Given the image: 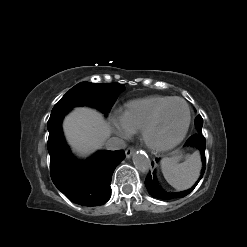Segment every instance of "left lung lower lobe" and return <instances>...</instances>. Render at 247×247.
<instances>
[{
    "label": "left lung lower lobe",
    "instance_id": "obj_1",
    "mask_svg": "<svg viewBox=\"0 0 247 247\" xmlns=\"http://www.w3.org/2000/svg\"><path fill=\"white\" fill-rule=\"evenodd\" d=\"M185 145L187 146H191L196 148L201 157H202V162H203V169H202V175L200 177V179L203 176V173L205 171V164H206V160H205V148H206V141L205 138L202 134H194L191 137L188 138V140L186 141ZM200 179L196 182V184L189 190L186 191H182V192H177V193H169L164 191L162 188H160L158 186L156 177H155V173L153 172V174L149 173L145 179V185L148 189V192L157 199H164V200H169V199H176V198H181V197H185L186 195H188L199 183Z\"/></svg>",
    "mask_w": 247,
    "mask_h": 247
}]
</instances>
